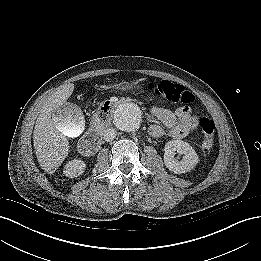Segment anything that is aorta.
<instances>
[{"label": "aorta", "instance_id": "1", "mask_svg": "<svg viewBox=\"0 0 261 261\" xmlns=\"http://www.w3.org/2000/svg\"><path fill=\"white\" fill-rule=\"evenodd\" d=\"M113 122L119 130L134 133L142 122L141 110L134 103H123L115 110Z\"/></svg>", "mask_w": 261, "mask_h": 261}]
</instances>
